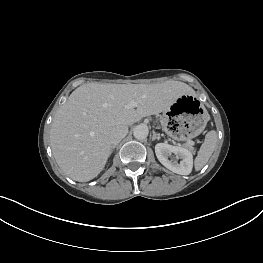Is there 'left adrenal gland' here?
Segmentation results:
<instances>
[{
  "label": "left adrenal gland",
  "mask_w": 263,
  "mask_h": 263,
  "mask_svg": "<svg viewBox=\"0 0 263 263\" xmlns=\"http://www.w3.org/2000/svg\"><path fill=\"white\" fill-rule=\"evenodd\" d=\"M160 140V136L155 132V131H153V136H152V140L154 141V140Z\"/></svg>",
  "instance_id": "1"
}]
</instances>
